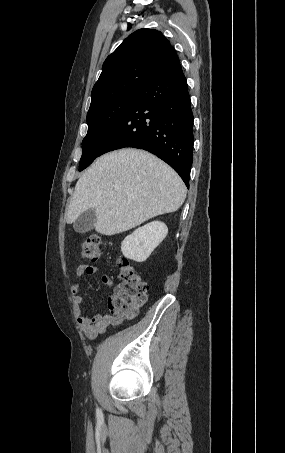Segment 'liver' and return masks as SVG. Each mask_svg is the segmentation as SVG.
I'll use <instances>...</instances> for the list:
<instances>
[{
  "mask_svg": "<svg viewBox=\"0 0 285 453\" xmlns=\"http://www.w3.org/2000/svg\"><path fill=\"white\" fill-rule=\"evenodd\" d=\"M185 197L186 187L170 166L144 150L125 148L99 157L79 178L66 222L93 208L95 230L111 236L177 211Z\"/></svg>",
  "mask_w": 285,
  "mask_h": 453,
  "instance_id": "liver-1",
  "label": "liver"
}]
</instances>
